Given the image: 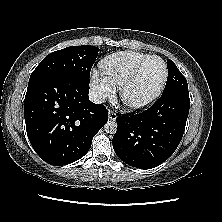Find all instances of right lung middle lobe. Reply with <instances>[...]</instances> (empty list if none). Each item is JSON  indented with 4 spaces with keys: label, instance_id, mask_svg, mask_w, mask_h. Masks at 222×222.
<instances>
[{
    "label": "right lung middle lobe",
    "instance_id": "obj_1",
    "mask_svg": "<svg viewBox=\"0 0 222 222\" xmlns=\"http://www.w3.org/2000/svg\"><path fill=\"white\" fill-rule=\"evenodd\" d=\"M98 51V47L83 45L52 52L32 72L29 84L47 77H64L89 83L90 71Z\"/></svg>",
    "mask_w": 222,
    "mask_h": 222
}]
</instances>
